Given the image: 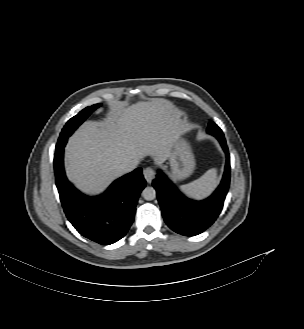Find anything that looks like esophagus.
Here are the masks:
<instances>
[{
  "label": "esophagus",
  "mask_w": 304,
  "mask_h": 329,
  "mask_svg": "<svg viewBox=\"0 0 304 329\" xmlns=\"http://www.w3.org/2000/svg\"><path fill=\"white\" fill-rule=\"evenodd\" d=\"M143 175L147 183H151L155 178V171L151 167H147L143 170Z\"/></svg>",
  "instance_id": "34e87169"
}]
</instances>
